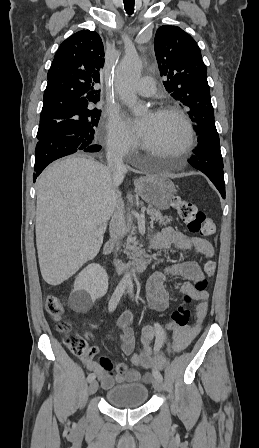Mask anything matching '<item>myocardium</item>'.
<instances>
[{
	"label": "myocardium",
	"instance_id": "f54148a6",
	"mask_svg": "<svg viewBox=\"0 0 259 448\" xmlns=\"http://www.w3.org/2000/svg\"><path fill=\"white\" fill-rule=\"evenodd\" d=\"M154 114L158 116L165 114H173L182 122L184 126V137L171 150L173 152V156L179 158L181 160V163H183L188 156V151L194 136V129L190 119L179 106L171 103H166L158 106ZM140 147L141 149L152 151L147 145L141 142Z\"/></svg>",
	"mask_w": 259,
	"mask_h": 448
}]
</instances>
